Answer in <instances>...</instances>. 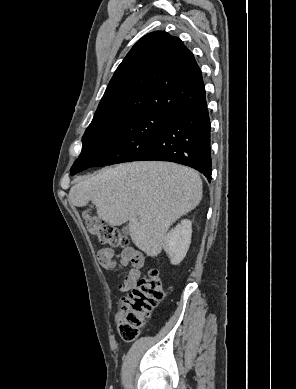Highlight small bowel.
Segmentation results:
<instances>
[{"instance_id":"obj_1","label":"small bowel","mask_w":296,"mask_h":389,"mask_svg":"<svg viewBox=\"0 0 296 389\" xmlns=\"http://www.w3.org/2000/svg\"><path fill=\"white\" fill-rule=\"evenodd\" d=\"M98 261L106 270H112L116 267L114 254L111 249H102L98 252ZM130 265L128 274L125 276L119 289L122 292L128 291L135 287L140 275L141 268L144 264L143 255L132 247L124 248L120 253V265Z\"/></svg>"}]
</instances>
